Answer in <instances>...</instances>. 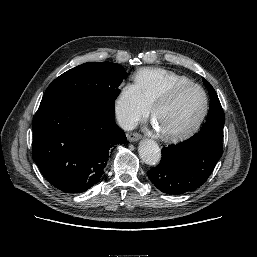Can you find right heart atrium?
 I'll list each match as a JSON object with an SVG mask.
<instances>
[{"label": "right heart atrium", "mask_w": 257, "mask_h": 257, "mask_svg": "<svg viewBox=\"0 0 257 257\" xmlns=\"http://www.w3.org/2000/svg\"><path fill=\"white\" fill-rule=\"evenodd\" d=\"M149 111L150 106L135 83H126L120 88L115 100V112L124 127H132Z\"/></svg>", "instance_id": "obj_1"}]
</instances>
